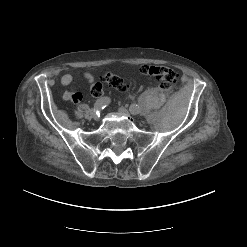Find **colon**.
I'll return each mask as SVG.
<instances>
[{"label": "colon", "mask_w": 247, "mask_h": 247, "mask_svg": "<svg viewBox=\"0 0 247 247\" xmlns=\"http://www.w3.org/2000/svg\"><path fill=\"white\" fill-rule=\"evenodd\" d=\"M139 71L144 76L154 78L158 82L160 88L164 90L171 89L178 78L176 71L167 66L143 65L140 67ZM104 81L119 92H124L128 88V85L122 78L111 73H106L104 75ZM90 91L93 96H100L103 91V86L100 82H96L91 85Z\"/></svg>", "instance_id": "5ec220e1"}]
</instances>
